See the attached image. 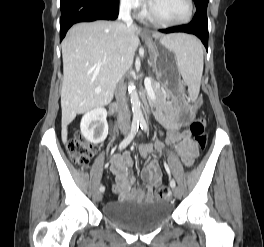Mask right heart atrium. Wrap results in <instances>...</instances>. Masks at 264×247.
Masks as SVG:
<instances>
[{"instance_id": "1", "label": "right heart atrium", "mask_w": 264, "mask_h": 247, "mask_svg": "<svg viewBox=\"0 0 264 247\" xmlns=\"http://www.w3.org/2000/svg\"><path fill=\"white\" fill-rule=\"evenodd\" d=\"M123 8L134 11L143 7L142 0H119Z\"/></svg>"}]
</instances>
